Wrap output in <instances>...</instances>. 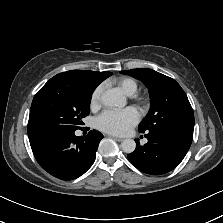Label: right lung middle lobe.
<instances>
[{
    "label": "right lung middle lobe",
    "instance_id": "dd1d6c3e",
    "mask_svg": "<svg viewBox=\"0 0 223 223\" xmlns=\"http://www.w3.org/2000/svg\"><path fill=\"white\" fill-rule=\"evenodd\" d=\"M93 91L46 83L34 96L28 122L29 141L81 129L90 113Z\"/></svg>",
    "mask_w": 223,
    "mask_h": 223
}]
</instances>
